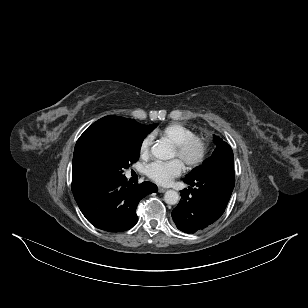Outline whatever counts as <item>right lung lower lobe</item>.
<instances>
[{"label":"right lung lower lobe","mask_w":308,"mask_h":308,"mask_svg":"<svg viewBox=\"0 0 308 308\" xmlns=\"http://www.w3.org/2000/svg\"><path fill=\"white\" fill-rule=\"evenodd\" d=\"M156 191V185L150 182L131 185L123 176L100 178L73 195L81 212L92 225L109 232H120L137 223V204L143 197Z\"/></svg>","instance_id":"1"}]
</instances>
